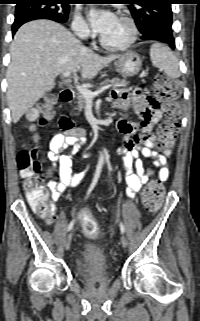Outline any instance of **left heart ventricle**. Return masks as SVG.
Segmentation results:
<instances>
[{
    "mask_svg": "<svg viewBox=\"0 0 200 321\" xmlns=\"http://www.w3.org/2000/svg\"><path fill=\"white\" fill-rule=\"evenodd\" d=\"M130 27L126 21L116 17L113 25L102 35L104 40L111 45H121L130 38Z\"/></svg>",
    "mask_w": 200,
    "mask_h": 321,
    "instance_id": "obj_1",
    "label": "left heart ventricle"
}]
</instances>
